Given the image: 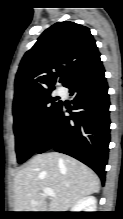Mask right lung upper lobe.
<instances>
[{
    "label": "right lung upper lobe",
    "instance_id": "right-lung-upper-lobe-1",
    "mask_svg": "<svg viewBox=\"0 0 123 219\" xmlns=\"http://www.w3.org/2000/svg\"><path fill=\"white\" fill-rule=\"evenodd\" d=\"M100 56L89 28L70 21L45 30L25 53L15 78L13 104L63 85Z\"/></svg>",
    "mask_w": 123,
    "mask_h": 219
}]
</instances>
